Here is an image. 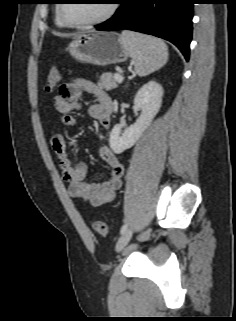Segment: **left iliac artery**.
Here are the masks:
<instances>
[{
	"label": "left iliac artery",
	"instance_id": "obj_1",
	"mask_svg": "<svg viewBox=\"0 0 236 321\" xmlns=\"http://www.w3.org/2000/svg\"><path fill=\"white\" fill-rule=\"evenodd\" d=\"M127 229V224H124L120 230V233L123 234Z\"/></svg>",
	"mask_w": 236,
	"mask_h": 321
}]
</instances>
